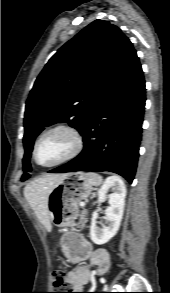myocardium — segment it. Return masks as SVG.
Returning <instances> with one entry per match:
<instances>
[{
  "instance_id": "1",
  "label": "myocardium",
  "mask_w": 170,
  "mask_h": 293,
  "mask_svg": "<svg viewBox=\"0 0 170 293\" xmlns=\"http://www.w3.org/2000/svg\"><path fill=\"white\" fill-rule=\"evenodd\" d=\"M60 129L66 130L67 132H69L73 136V138H74L73 150L67 156H65L64 158H62L54 163H50V164L40 163L37 160V148H38L39 143L47 134H49L55 130H60ZM83 148H84L83 137L76 128H74L73 126L68 125V124H56V125L49 127L45 131H43L40 134V136L36 139L34 146H33L32 157H33L34 162L37 165H39L41 167H45V168H51V167H56V166L62 165L64 163H67V162L75 159L82 152Z\"/></svg>"
}]
</instances>
